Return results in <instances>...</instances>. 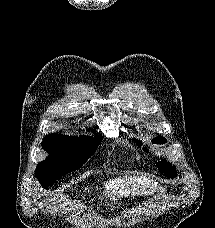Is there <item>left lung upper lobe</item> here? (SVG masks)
Segmentation results:
<instances>
[{
	"label": "left lung upper lobe",
	"instance_id": "left-lung-upper-lobe-1",
	"mask_svg": "<svg viewBox=\"0 0 215 228\" xmlns=\"http://www.w3.org/2000/svg\"><path fill=\"white\" fill-rule=\"evenodd\" d=\"M135 142L138 146H142L141 141L135 139ZM152 142L156 144H165L167 141L164 139V137L158 136L155 137ZM144 150L147 151V148H144ZM158 169L161 173H164L167 178H174L176 176V170L165 159H163L161 162H158Z\"/></svg>",
	"mask_w": 215,
	"mask_h": 228
}]
</instances>
